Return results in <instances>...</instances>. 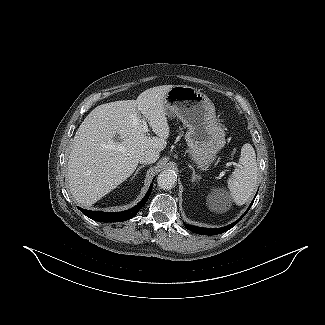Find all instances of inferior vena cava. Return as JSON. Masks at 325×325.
<instances>
[{"instance_id":"obj_1","label":"inferior vena cava","mask_w":325,"mask_h":325,"mask_svg":"<svg viewBox=\"0 0 325 325\" xmlns=\"http://www.w3.org/2000/svg\"><path fill=\"white\" fill-rule=\"evenodd\" d=\"M159 158V153L155 150H146L141 153L139 157V162L142 164H151L157 161Z\"/></svg>"}]
</instances>
